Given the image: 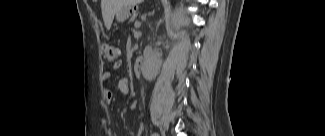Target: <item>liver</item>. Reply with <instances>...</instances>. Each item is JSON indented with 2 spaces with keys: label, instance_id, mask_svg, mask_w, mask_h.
<instances>
[{
  "label": "liver",
  "instance_id": "liver-1",
  "mask_svg": "<svg viewBox=\"0 0 325 136\" xmlns=\"http://www.w3.org/2000/svg\"><path fill=\"white\" fill-rule=\"evenodd\" d=\"M141 0H101V9L104 24L107 30L111 28L114 16L128 5H135Z\"/></svg>",
  "mask_w": 325,
  "mask_h": 136
}]
</instances>
